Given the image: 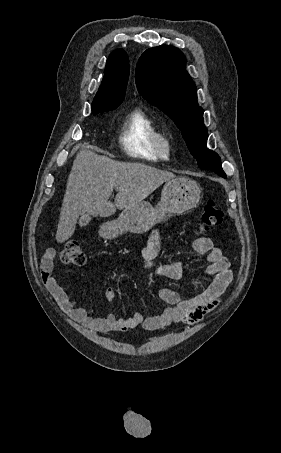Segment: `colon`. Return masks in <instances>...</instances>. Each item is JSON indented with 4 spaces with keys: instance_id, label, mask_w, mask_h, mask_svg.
<instances>
[{
    "instance_id": "1",
    "label": "colon",
    "mask_w": 281,
    "mask_h": 453,
    "mask_svg": "<svg viewBox=\"0 0 281 453\" xmlns=\"http://www.w3.org/2000/svg\"><path fill=\"white\" fill-rule=\"evenodd\" d=\"M202 207L203 213L200 219V227L203 231L220 227L225 223V215L215 200L210 199L205 201ZM61 260L63 262H85L87 260V254L80 248L76 239L69 238L64 243Z\"/></svg>"
}]
</instances>
